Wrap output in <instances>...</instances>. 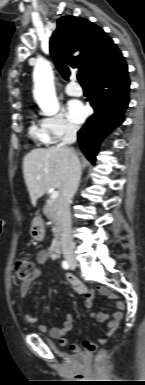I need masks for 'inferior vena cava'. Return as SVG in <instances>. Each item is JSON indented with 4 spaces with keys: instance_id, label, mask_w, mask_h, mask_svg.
Masks as SVG:
<instances>
[{
    "instance_id": "obj_1",
    "label": "inferior vena cava",
    "mask_w": 145,
    "mask_h": 385,
    "mask_svg": "<svg viewBox=\"0 0 145 385\" xmlns=\"http://www.w3.org/2000/svg\"><path fill=\"white\" fill-rule=\"evenodd\" d=\"M78 128L75 125L68 124L65 135L59 146L64 147L76 142V134ZM81 177V166L79 159L76 155H73L70 159V168L67 179L65 180L61 195L59 197V216L61 222V245L63 255H73V242L71 236V215H70V203L77 191L79 181Z\"/></svg>"
}]
</instances>
